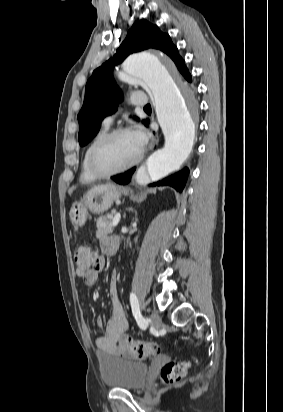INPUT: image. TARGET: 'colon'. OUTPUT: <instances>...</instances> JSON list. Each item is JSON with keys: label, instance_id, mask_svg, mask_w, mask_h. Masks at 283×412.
Returning a JSON list of instances; mask_svg holds the SVG:
<instances>
[{"label": "colon", "instance_id": "1", "mask_svg": "<svg viewBox=\"0 0 283 412\" xmlns=\"http://www.w3.org/2000/svg\"><path fill=\"white\" fill-rule=\"evenodd\" d=\"M76 272L80 276H85L91 269L101 263L99 255L87 244L80 246L74 255ZM121 350L127 356L143 358L158 352L159 346L153 342H142L130 337H123L120 341ZM189 363L187 361H170L161 370V377L164 383L174 384L179 382L187 373Z\"/></svg>", "mask_w": 283, "mask_h": 412}]
</instances>
